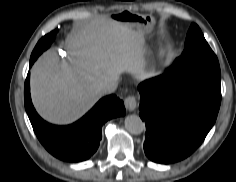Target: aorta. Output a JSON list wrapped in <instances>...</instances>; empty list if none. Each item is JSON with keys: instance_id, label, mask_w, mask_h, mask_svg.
I'll use <instances>...</instances> for the list:
<instances>
[{"instance_id": "762f6f07", "label": "aorta", "mask_w": 236, "mask_h": 182, "mask_svg": "<svg viewBox=\"0 0 236 182\" xmlns=\"http://www.w3.org/2000/svg\"><path fill=\"white\" fill-rule=\"evenodd\" d=\"M125 128L134 135H139L145 130V124L137 115H128L124 121Z\"/></svg>"}]
</instances>
